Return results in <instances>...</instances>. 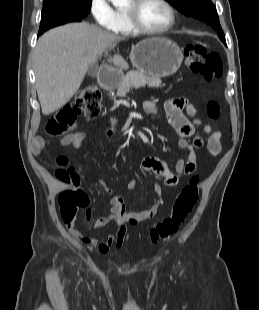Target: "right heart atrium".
I'll list each match as a JSON object with an SVG mask.
<instances>
[{
	"label": "right heart atrium",
	"mask_w": 259,
	"mask_h": 310,
	"mask_svg": "<svg viewBox=\"0 0 259 310\" xmlns=\"http://www.w3.org/2000/svg\"><path fill=\"white\" fill-rule=\"evenodd\" d=\"M90 12L99 26L110 30L117 28V12L108 0H90Z\"/></svg>",
	"instance_id": "d8ad5b80"
}]
</instances>
